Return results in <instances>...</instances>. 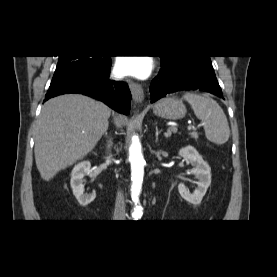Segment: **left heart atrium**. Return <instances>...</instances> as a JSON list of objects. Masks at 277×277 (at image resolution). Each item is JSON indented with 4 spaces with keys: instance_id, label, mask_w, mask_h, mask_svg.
Wrapping results in <instances>:
<instances>
[{
    "instance_id": "1",
    "label": "left heart atrium",
    "mask_w": 277,
    "mask_h": 277,
    "mask_svg": "<svg viewBox=\"0 0 277 277\" xmlns=\"http://www.w3.org/2000/svg\"><path fill=\"white\" fill-rule=\"evenodd\" d=\"M116 68L121 75L144 78L150 73L152 64L145 57L121 58L117 61Z\"/></svg>"
}]
</instances>
